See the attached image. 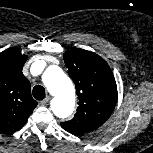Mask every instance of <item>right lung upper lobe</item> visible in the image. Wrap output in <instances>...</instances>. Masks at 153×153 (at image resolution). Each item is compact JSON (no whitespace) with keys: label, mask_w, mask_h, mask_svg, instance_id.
Here are the masks:
<instances>
[{"label":"right lung upper lobe","mask_w":153,"mask_h":153,"mask_svg":"<svg viewBox=\"0 0 153 153\" xmlns=\"http://www.w3.org/2000/svg\"><path fill=\"white\" fill-rule=\"evenodd\" d=\"M26 60L27 56L17 49L0 53V132L19 130L37 106L31 85L22 73Z\"/></svg>","instance_id":"obj_1"}]
</instances>
